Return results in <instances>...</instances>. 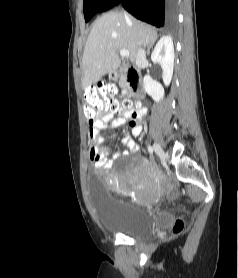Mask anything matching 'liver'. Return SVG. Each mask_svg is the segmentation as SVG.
I'll return each mask as SVG.
<instances>
[{"label": "liver", "instance_id": "obj_1", "mask_svg": "<svg viewBox=\"0 0 238 278\" xmlns=\"http://www.w3.org/2000/svg\"><path fill=\"white\" fill-rule=\"evenodd\" d=\"M157 37L154 27L122 12L111 11L97 18L83 53L82 88L86 90L102 76L120 67V49L128 50L130 60L134 62L138 48L153 45Z\"/></svg>", "mask_w": 238, "mask_h": 278}]
</instances>
